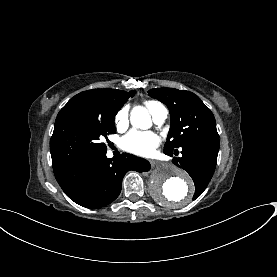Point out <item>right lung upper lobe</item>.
I'll list each match as a JSON object with an SVG mask.
<instances>
[{
    "mask_svg": "<svg viewBox=\"0 0 277 277\" xmlns=\"http://www.w3.org/2000/svg\"><path fill=\"white\" fill-rule=\"evenodd\" d=\"M135 91H122L116 89H92L81 92L69 100L60 110L56 119L71 110H78L99 117L101 120L115 118L120 108ZM56 122V121H55ZM56 129V127H54Z\"/></svg>",
    "mask_w": 277,
    "mask_h": 277,
    "instance_id": "cb5924a9",
    "label": "right lung upper lobe"
}]
</instances>
